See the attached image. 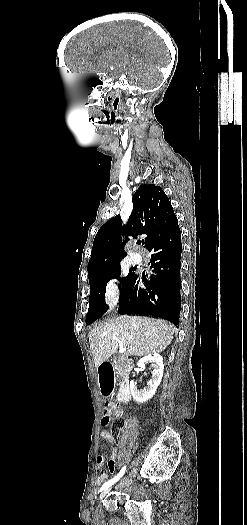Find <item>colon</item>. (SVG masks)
<instances>
[{"label": "colon", "mask_w": 247, "mask_h": 525, "mask_svg": "<svg viewBox=\"0 0 247 525\" xmlns=\"http://www.w3.org/2000/svg\"><path fill=\"white\" fill-rule=\"evenodd\" d=\"M106 412L104 419L102 420V425L104 427H109L111 422H113V430H121L124 427V420L120 416V406L117 403H109L106 405Z\"/></svg>", "instance_id": "obj_1"}]
</instances>
